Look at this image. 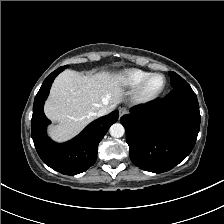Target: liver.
Wrapping results in <instances>:
<instances>
[{
  "label": "liver",
  "mask_w": 224,
  "mask_h": 224,
  "mask_svg": "<svg viewBox=\"0 0 224 224\" xmlns=\"http://www.w3.org/2000/svg\"><path fill=\"white\" fill-rule=\"evenodd\" d=\"M123 86V78L111 72H62L55 79L44 107L46 116L58 123L49 129V135L59 142L77 135L102 107L109 112L116 108L124 96Z\"/></svg>",
  "instance_id": "6515ba94"
}]
</instances>
